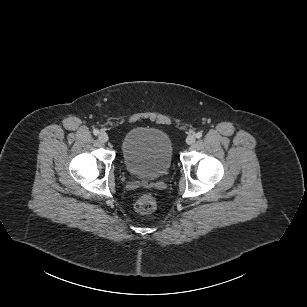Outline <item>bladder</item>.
<instances>
[{
  "label": "bladder",
  "instance_id": "obj_1",
  "mask_svg": "<svg viewBox=\"0 0 307 307\" xmlns=\"http://www.w3.org/2000/svg\"><path fill=\"white\" fill-rule=\"evenodd\" d=\"M121 152L129 174L154 180L169 170L173 146L166 132L152 127H137L123 138Z\"/></svg>",
  "mask_w": 307,
  "mask_h": 307
}]
</instances>
